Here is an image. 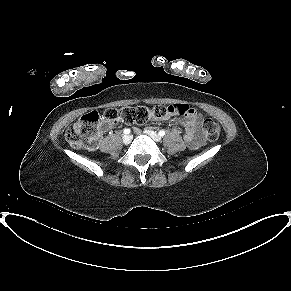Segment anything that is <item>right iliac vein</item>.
<instances>
[{
    "label": "right iliac vein",
    "mask_w": 291,
    "mask_h": 291,
    "mask_svg": "<svg viewBox=\"0 0 291 291\" xmlns=\"http://www.w3.org/2000/svg\"><path fill=\"white\" fill-rule=\"evenodd\" d=\"M131 139H132L131 135H124L122 141L125 145H128L131 142Z\"/></svg>",
    "instance_id": "63e3f726"
}]
</instances>
